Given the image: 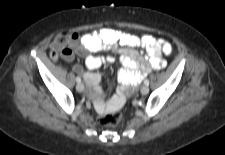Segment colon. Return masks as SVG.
Wrapping results in <instances>:
<instances>
[{"instance_id":"obj_1","label":"colon","mask_w":225,"mask_h":155,"mask_svg":"<svg viewBox=\"0 0 225 155\" xmlns=\"http://www.w3.org/2000/svg\"><path fill=\"white\" fill-rule=\"evenodd\" d=\"M71 35L69 34H59L54 39L51 45V54L53 58L63 57L70 53L69 49L66 47V43L69 42ZM99 124L110 127H119L124 123V118L120 112L109 113L105 111L98 119Z\"/></svg>"}]
</instances>
